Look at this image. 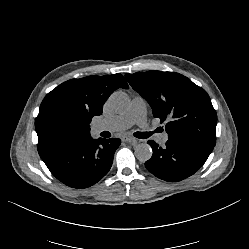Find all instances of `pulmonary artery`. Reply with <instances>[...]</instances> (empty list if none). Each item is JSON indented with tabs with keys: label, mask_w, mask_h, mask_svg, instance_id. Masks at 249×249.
Segmentation results:
<instances>
[{
	"label": "pulmonary artery",
	"mask_w": 249,
	"mask_h": 249,
	"mask_svg": "<svg viewBox=\"0 0 249 249\" xmlns=\"http://www.w3.org/2000/svg\"><path fill=\"white\" fill-rule=\"evenodd\" d=\"M137 124L142 129H148L146 102L141 96L132 99L129 110L112 118L103 119L92 125V133L103 131H122ZM168 140V133L162 132L156 135V141L164 146Z\"/></svg>",
	"instance_id": "e3ab8cb5"
}]
</instances>
